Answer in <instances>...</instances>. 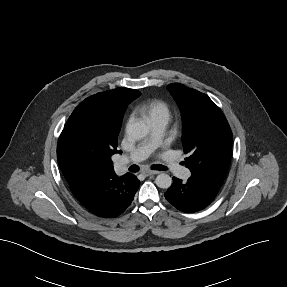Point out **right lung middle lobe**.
Instances as JSON below:
<instances>
[{"label":"right lung middle lobe","mask_w":287,"mask_h":287,"mask_svg":"<svg viewBox=\"0 0 287 287\" xmlns=\"http://www.w3.org/2000/svg\"><path fill=\"white\" fill-rule=\"evenodd\" d=\"M92 119L77 107L69 117L58 141L57 159L64 175L83 181L101 178L103 171L112 166L111 156L116 153L111 144L90 134Z\"/></svg>","instance_id":"right-lung-middle-lobe-1"}]
</instances>
